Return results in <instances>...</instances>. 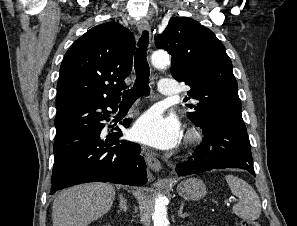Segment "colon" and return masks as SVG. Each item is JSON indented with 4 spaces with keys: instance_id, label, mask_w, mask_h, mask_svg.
Instances as JSON below:
<instances>
[{
    "instance_id": "5ec220e1",
    "label": "colon",
    "mask_w": 297,
    "mask_h": 226,
    "mask_svg": "<svg viewBox=\"0 0 297 226\" xmlns=\"http://www.w3.org/2000/svg\"><path fill=\"white\" fill-rule=\"evenodd\" d=\"M240 226H260V224L257 221L253 220H243L240 223Z\"/></svg>"
}]
</instances>
